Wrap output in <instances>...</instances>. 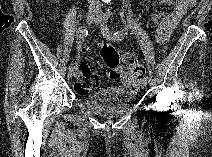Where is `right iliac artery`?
<instances>
[{
  "label": "right iliac artery",
  "mask_w": 212,
  "mask_h": 157,
  "mask_svg": "<svg viewBox=\"0 0 212 157\" xmlns=\"http://www.w3.org/2000/svg\"><path fill=\"white\" fill-rule=\"evenodd\" d=\"M89 35V32L87 29H81L77 32L76 37L77 39H83ZM74 67L72 65L69 66V69H73Z\"/></svg>",
  "instance_id": "obj_1"
}]
</instances>
